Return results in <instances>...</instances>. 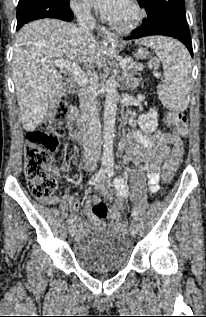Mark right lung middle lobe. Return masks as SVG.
Segmentation results:
<instances>
[{"instance_id": "obj_1", "label": "right lung middle lobe", "mask_w": 206, "mask_h": 317, "mask_svg": "<svg viewBox=\"0 0 206 317\" xmlns=\"http://www.w3.org/2000/svg\"><path fill=\"white\" fill-rule=\"evenodd\" d=\"M69 8V0H19L17 28L33 20L57 18L59 11H67Z\"/></svg>"}]
</instances>
